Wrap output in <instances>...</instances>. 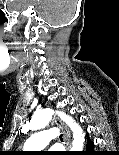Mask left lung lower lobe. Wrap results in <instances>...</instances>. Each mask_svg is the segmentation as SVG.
<instances>
[{
    "mask_svg": "<svg viewBox=\"0 0 119 155\" xmlns=\"http://www.w3.org/2000/svg\"><path fill=\"white\" fill-rule=\"evenodd\" d=\"M93 148H94L93 142L90 141V140H88V141H87L86 155H93Z\"/></svg>",
    "mask_w": 119,
    "mask_h": 155,
    "instance_id": "0a47b994",
    "label": "left lung lower lobe"
}]
</instances>
